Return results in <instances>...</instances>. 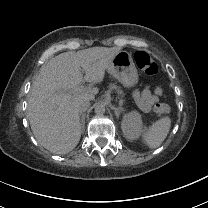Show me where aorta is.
Wrapping results in <instances>:
<instances>
[{"instance_id": "1", "label": "aorta", "mask_w": 208, "mask_h": 208, "mask_svg": "<svg viewBox=\"0 0 208 208\" xmlns=\"http://www.w3.org/2000/svg\"><path fill=\"white\" fill-rule=\"evenodd\" d=\"M105 112V105L102 103H98L95 105V113L96 114H104Z\"/></svg>"}]
</instances>
